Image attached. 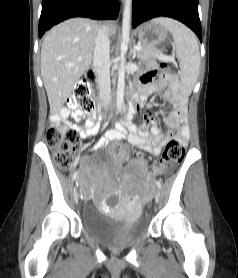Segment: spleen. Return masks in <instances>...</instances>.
Wrapping results in <instances>:
<instances>
[{
	"label": "spleen",
	"mask_w": 238,
	"mask_h": 278,
	"mask_svg": "<svg viewBox=\"0 0 238 278\" xmlns=\"http://www.w3.org/2000/svg\"><path fill=\"white\" fill-rule=\"evenodd\" d=\"M155 21L172 33L173 46L181 66L182 90L189 95L196 84L200 67L197 37L188 27L174 19L160 17Z\"/></svg>",
	"instance_id": "3e777b00"
}]
</instances>
